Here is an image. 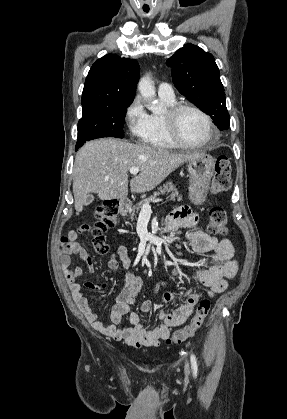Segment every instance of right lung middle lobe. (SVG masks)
I'll return each mask as SVG.
<instances>
[{
	"label": "right lung middle lobe",
	"mask_w": 287,
	"mask_h": 419,
	"mask_svg": "<svg viewBox=\"0 0 287 419\" xmlns=\"http://www.w3.org/2000/svg\"><path fill=\"white\" fill-rule=\"evenodd\" d=\"M131 103L103 106L83 112L78 122L76 150L86 141L100 137L123 138L124 119Z\"/></svg>",
	"instance_id": "1"
}]
</instances>
